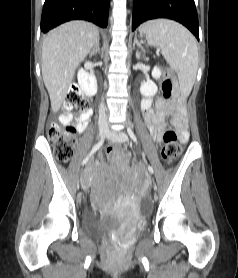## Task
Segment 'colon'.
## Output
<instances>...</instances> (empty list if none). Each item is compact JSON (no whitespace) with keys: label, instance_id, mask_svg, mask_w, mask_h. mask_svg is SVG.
<instances>
[{"label":"colon","instance_id":"colon-1","mask_svg":"<svg viewBox=\"0 0 238 278\" xmlns=\"http://www.w3.org/2000/svg\"><path fill=\"white\" fill-rule=\"evenodd\" d=\"M174 86V73L171 70H166V77L161 85L165 99L172 98ZM88 109L89 102L84 97L81 89L77 86L72 87L63 103L65 113L81 116L88 112ZM47 135L53 146L56 159L61 162H67L73 154V147L77 140L76 127L73 125L61 127L53 124L50 126ZM181 151L182 148L176 133L169 126H166L164 144L161 151L163 161L166 163L174 161L181 154ZM108 157L117 165L127 164L128 162V159L121 155L116 148H111L108 151Z\"/></svg>","mask_w":238,"mask_h":278}]
</instances>
